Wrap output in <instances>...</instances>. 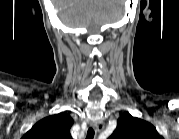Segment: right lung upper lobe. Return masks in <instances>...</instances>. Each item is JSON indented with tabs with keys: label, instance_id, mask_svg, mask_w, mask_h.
<instances>
[{
	"label": "right lung upper lobe",
	"instance_id": "obj_1",
	"mask_svg": "<svg viewBox=\"0 0 179 139\" xmlns=\"http://www.w3.org/2000/svg\"><path fill=\"white\" fill-rule=\"evenodd\" d=\"M73 119L65 113L55 114L37 122L24 139H71L70 128Z\"/></svg>",
	"mask_w": 179,
	"mask_h": 139
}]
</instances>
